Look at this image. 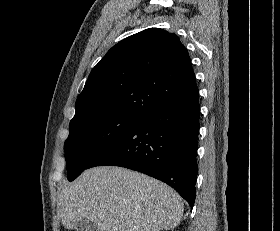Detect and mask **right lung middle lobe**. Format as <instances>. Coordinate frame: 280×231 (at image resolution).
Segmentation results:
<instances>
[{
	"label": "right lung middle lobe",
	"instance_id": "1",
	"mask_svg": "<svg viewBox=\"0 0 280 231\" xmlns=\"http://www.w3.org/2000/svg\"><path fill=\"white\" fill-rule=\"evenodd\" d=\"M141 118L111 116L71 120L64 143L67 178L73 181L111 145L135 127Z\"/></svg>",
	"mask_w": 280,
	"mask_h": 231
}]
</instances>
